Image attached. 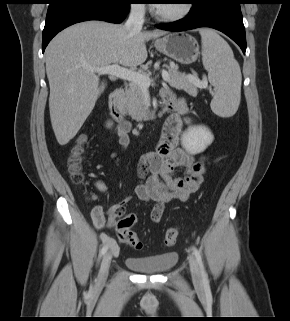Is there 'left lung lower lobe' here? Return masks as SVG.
Returning <instances> with one entry per match:
<instances>
[{"mask_svg":"<svg viewBox=\"0 0 290 321\" xmlns=\"http://www.w3.org/2000/svg\"><path fill=\"white\" fill-rule=\"evenodd\" d=\"M240 4L242 0H203L193 5L187 17L157 27L169 31L211 27L229 36L245 54L246 37Z\"/></svg>","mask_w":290,"mask_h":321,"instance_id":"0a47b994","label":"left lung lower lobe"}]
</instances>
